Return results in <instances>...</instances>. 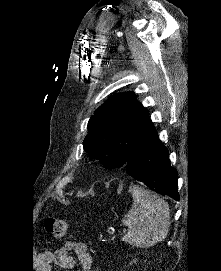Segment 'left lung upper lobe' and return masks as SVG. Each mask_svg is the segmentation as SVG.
Here are the masks:
<instances>
[{"label":"left lung upper lobe","mask_w":221,"mask_h":271,"mask_svg":"<svg viewBox=\"0 0 221 271\" xmlns=\"http://www.w3.org/2000/svg\"><path fill=\"white\" fill-rule=\"evenodd\" d=\"M154 130L148 112L133 92L115 94L90 118L84 150L106 168L121 167Z\"/></svg>","instance_id":"left-lung-upper-lobe-1"}]
</instances>
